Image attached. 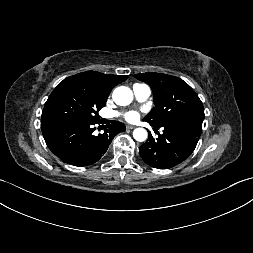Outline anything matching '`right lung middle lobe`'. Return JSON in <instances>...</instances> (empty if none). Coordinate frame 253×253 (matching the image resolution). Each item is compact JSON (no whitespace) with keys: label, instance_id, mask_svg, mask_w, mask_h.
Listing matches in <instances>:
<instances>
[{"label":"right lung middle lobe","instance_id":"1","mask_svg":"<svg viewBox=\"0 0 253 253\" xmlns=\"http://www.w3.org/2000/svg\"><path fill=\"white\" fill-rule=\"evenodd\" d=\"M108 96L98 92L84 79L65 78L51 93L42 111L41 124L52 122L95 123L98 111Z\"/></svg>","mask_w":253,"mask_h":253}]
</instances>
